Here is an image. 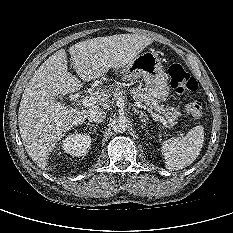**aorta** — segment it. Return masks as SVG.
Returning a JSON list of instances; mask_svg holds the SVG:
<instances>
[{"mask_svg":"<svg viewBox=\"0 0 233 233\" xmlns=\"http://www.w3.org/2000/svg\"><path fill=\"white\" fill-rule=\"evenodd\" d=\"M129 126L128 120L125 117H114L111 121V127L116 133H124Z\"/></svg>","mask_w":233,"mask_h":233,"instance_id":"obj_1","label":"aorta"}]
</instances>
